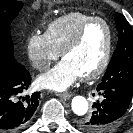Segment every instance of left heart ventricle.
Masks as SVG:
<instances>
[{"instance_id": "b2bd125f", "label": "left heart ventricle", "mask_w": 133, "mask_h": 133, "mask_svg": "<svg viewBox=\"0 0 133 133\" xmlns=\"http://www.w3.org/2000/svg\"><path fill=\"white\" fill-rule=\"evenodd\" d=\"M107 45V30L101 23L92 24L85 32L79 45L66 54L65 60L70 62L79 75L94 71L101 63Z\"/></svg>"}]
</instances>
